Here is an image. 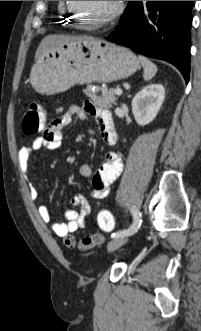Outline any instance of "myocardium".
<instances>
[{
    "label": "myocardium",
    "instance_id": "f54148a6",
    "mask_svg": "<svg viewBox=\"0 0 201 331\" xmlns=\"http://www.w3.org/2000/svg\"><path fill=\"white\" fill-rule=\"evenodd\" d=\"M68 6L70 10L75 14V17L81 20L83 24L90 27H102L109 24L120 15L123 10V1H115L113 9L106 16L100 18L98 21L93 23L88 22L84 19L83 15L78 10L77 6L74 4V1H68Z\"/></svg>",
    "mask_w": 201,
    "mask_h": 331
}]
</instances>
